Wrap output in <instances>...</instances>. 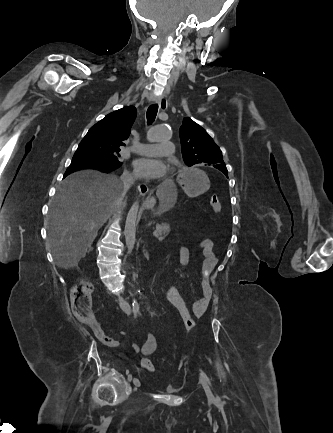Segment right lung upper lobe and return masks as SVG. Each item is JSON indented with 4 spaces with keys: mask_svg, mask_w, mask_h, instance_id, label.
<instances>
[{
    "mask_svg": "<svg viewBox=\"0 0 333 433\" xmlns=\"http://www.w3.org/2000/svg\"><path fill=\"white\" fill-rule=\"evenodd\" d=\"M134 106H126L106 115L90 128L83 140L100 148H118L129 137L131 126L136 118Z\"/></svg>",
    "mask_w": 333,
    "mask_h": 433,
    "instance_id": "1",
    "label": "right lung upper lobe"
}]
</instances>
